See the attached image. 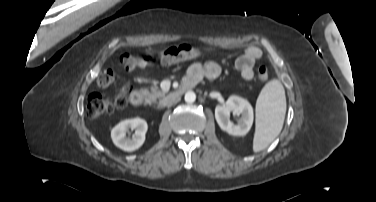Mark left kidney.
Instances as JSON below:
<instances>
[{
	"mask_svg": "<svg viewBox=\"0 0 376 202\" xmlns=\"http://www.w3.org/2000/svg\"><path fill=\"white\" fill-rule=\"evenodd\" d=\"M230 112L241 114V119L237 124L230 121ZM215 119L219 127L228 134L234 136H244L250 131L253 124V108L247 100L239 96L232 95L228 98L225 105L216 106Z\"/></svg>",
	"mask_w": 376,
	"mask_h": 202,
	"instance_id": "5707ae66",
	"label": "left kidney"
}]
</instances>
